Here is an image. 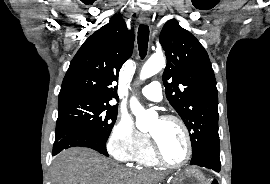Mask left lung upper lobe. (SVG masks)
I'll use <instances>...</instances> for the list:
<instances>
[{
    "label": "left lung upper lobe",
    "mask_w": 270,
    "mask_h": 184,
    "mask_svg": "<svg viewBox=\"0 0 270 184\" xmlns=\"http://www.w3.org/2000/svg\"><path fill=\"white\" fill-rule=\"evenodd\" d=\"M159 41L167 58L162 76L166 97L189 130L194 161L206 150H219L214 72L204 47L177 20L164 25Z\"/></svg>",
    "instance_id": "1"
}]
</instances>
